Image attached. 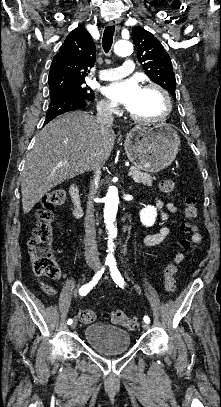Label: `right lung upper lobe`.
<instances>
[{"instance_id": "cb5924a9", "label": "right lung upper lobe", "mask_w": 221, "mask_h": 407, "mask_svg": "<svg viewBox=\"0 0 221 407\" xmlns=\"http://www.w3.org/2000/svg\"><path fill=\"white\" fill-rule=\"evenodd\" d=\"M95 44L84 27H77L67 36L54 56L49 73L50 90L85 82L89 68L96 61Z\"/></svg>"}]
</instances>
